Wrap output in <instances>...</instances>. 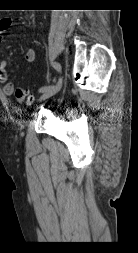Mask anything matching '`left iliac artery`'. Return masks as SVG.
I'll return each mask as SVG.
<instances>
[{
  "instance_id": "44dca946",
  "label": "left iliac artery",
  "mask_w": 138,
  "mask_h": 253,
  "mask_svg": "<svg viewBox=\"0 0 138 253\" xmlns=\"http://www.w3.org/2000/svg\"><path fill=\"white\" fill-rule=\"evenodd\" d=\"M52 67L57 70L58 72H61V65L58 62H53ZM50 86H43L39 89V92H44L47 90Z\"/></svg>"
}]
</instances>
